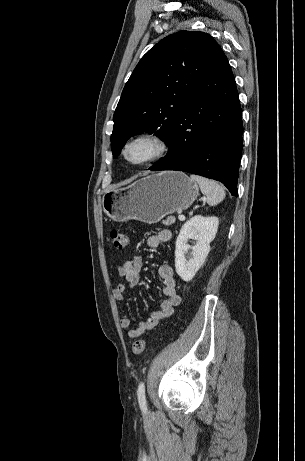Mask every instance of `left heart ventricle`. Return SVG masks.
Here are the masks:
<instances>
[{"instance_id":"1","label":"left heart ventricle","mask_w":305,"mask_h":461,"mask_svg":"<svg viewBox=\"0 0 305 461\" xmlns=\"http://www.w3.org/2000/svg\"><path fill=\"white\" fill-rule=\"evenodd\" d=\"M152 151V147L147 143H136L131 145L127 150V157L131 161H139L147 157Z\"/></svg>"}]
</instances>
